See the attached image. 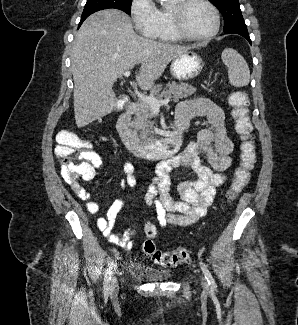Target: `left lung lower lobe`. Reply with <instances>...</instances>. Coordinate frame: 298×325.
Instances as JSON below:
<instances>
[{
	"mask_svg": "<svg viewBox=\"0 0 298 325\" xmlns=\"http://www.w3.org/2000/svg\"><path fill=\"white\" fill-rule=\"evenodd\" d=\"M224 33L225 34H239V35L243 36L244 38H246L249 41V43L251 44V40H250L246 25H239V26L232 27L228 30H224Z\"/></svg>",
	"mask_w": 298,
	"mask_h": 325,
	"instance_id": "obj_1",
	"label": "left lung lower lobe"
}]
</instances>
